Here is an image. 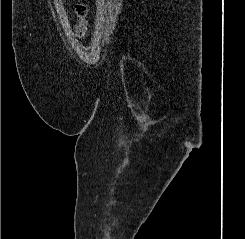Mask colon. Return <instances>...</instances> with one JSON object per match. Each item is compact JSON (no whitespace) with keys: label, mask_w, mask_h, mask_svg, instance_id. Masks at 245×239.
<instances>
[{"label":"colon","mask_w":245,"mask_h":239,"mask_svg":"<svg viewBox=\"0 0 245 239\" xmlns=\"http://www.w3.org/2000/svg\"><path fill=\"white\" fill-rule=\"evenodd\" d=\"M76 13L79 17V22L76 26V33L79 37H84L87 32V22L85 21V17L88 14V6L84 3L77 4Z\"/></svg>","instance_id":"5ec220e1"}]
</instances>
